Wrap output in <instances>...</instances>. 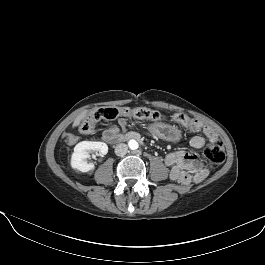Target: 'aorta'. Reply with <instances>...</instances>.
I'll return each mask as SVG.
<instances>
[{
  "label": "aorta",
  "mask_w": 265,
  "mask_h": 265,
  "mask_svg": "<svg viewBox=\"0 0 265 265\" xmlns=\"http://www.w3.org/2000/svg\"><path fill=\"white\" fill-rule=\"evenodd\" d=\"M128 146H129V148H130L131 150H136V149H138L139 144H138V142H137L136 140L131 139V140H129V142H128Z\"/></svg>",
  "instance_id": "aorta-1"
}]
</instances>
